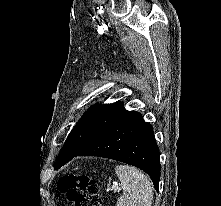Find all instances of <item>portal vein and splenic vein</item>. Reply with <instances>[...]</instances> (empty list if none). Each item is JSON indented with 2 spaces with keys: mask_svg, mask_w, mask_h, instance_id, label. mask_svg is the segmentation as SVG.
I'll return each instance as SVG.
<instances>
[{
  "mask_svg": "<svg viewBox=\"0 0 221 206\" xmlns=\"http://www.w3.org/2000/svg\"><path fill=\"white\" fill-rule=\"evenodd\" d=\"M111 191H113V192H119V191H120V188H119L118 186H116V185H113Z\"/></svg>",
  "mask_w": 221,
  "mask_h": 206,
  "instance_id": "portal-vein-and-splenic-vein-1",
  "label": "portal vein and splenic vein"
}]
</instances>
